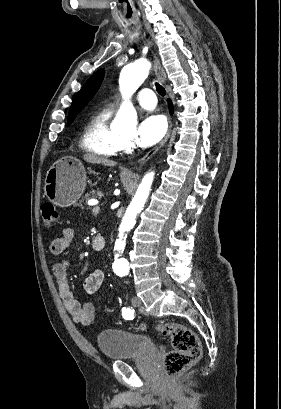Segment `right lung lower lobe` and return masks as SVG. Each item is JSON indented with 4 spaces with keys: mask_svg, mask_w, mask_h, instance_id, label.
Listing matches in <instances>:
<instances>
[{
    "mask_svg": "<svg viewBox=\"0 0 281 409\" xmlns=\"http://www.w3.org/2000/svg\"><path fill=\"white\" fill-rule=\"evenodd\" d=\"M168 103H169L170 112L172 113V112H173L172 103H171V101H170V100H168Z\"/></svg>",
    "mask_w": 281,
    "mask_h": 409,
    "instance_id": "right-lung-lower-lobe-1",
    "label": "right lung lower lobe"
}]
</instances>
